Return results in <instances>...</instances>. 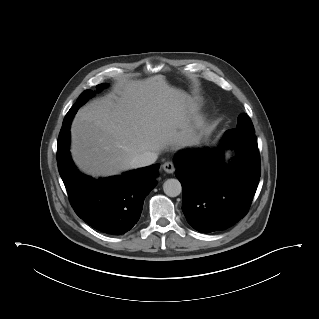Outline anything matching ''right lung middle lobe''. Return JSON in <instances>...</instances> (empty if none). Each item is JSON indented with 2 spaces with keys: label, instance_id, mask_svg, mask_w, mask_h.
Here are the masks:
<instances>
[{
  "label": "right lung middle lobe",
  "instance_id": "1",
  "mask_svg": "<svg viewBox=\"0 0 319 319\" xmlns=\"http://www.w3.org/2000/svg\"><path fill=\"white\" fill-rule=\"evenodd\" d=\"M106 86H107V84H99V85H97L96 86L97 92H100ZM93 96H95V92H93L91 90H86L79 96V98L77 99L76 103L71 107V109L66 114L59 135L64 134V132H66L69 129L70 124H71V120H72L73 116L75 115V113L77 112V110L79 109V107L81 105H83L89 98H91Z\"/></svg>",
  "mask_w": 319,
  "mask_h": 319
}]
</instances>
